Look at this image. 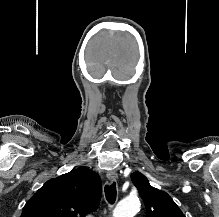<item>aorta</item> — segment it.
Instances as JSON below:
<instances>
[{
  "label": "aorta",
  "instance_id": "1",
  "mask_svg": "<svg viewBox=\"0 0 219 217\" xmlns=\"http://www.w3.org/2000/svg\"><path fill=\"white\" fill-rule=\"evenodd\" d=\"M140 209L137 197H128L120 201L113 211V217H134Z\"/></svg>",
  "mask_w": 219,
  "mask_h": 217
}]
</instances>
